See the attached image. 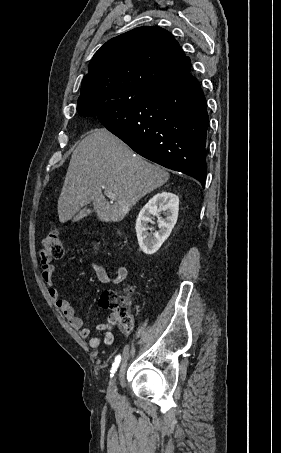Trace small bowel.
<instances>
[{
	"label": "small bowel",
	"mask_w": 281,
	"mask_h": 453,
	"mask_svg": "<svg viewBox=\"0 0 281 453\" xmlns=\"http://www.w3.org/2000/svg\"><path fill=\"white\" fill-rule=\"evenodd\" d=\"M90 268L95 273L97 279L105 284L122 283L128 276V270L124 266L119 267L114 275L108 274L100 264L92 263ZM41 277L46 284L49 297L56 303L57 308L60 309L72 327L79 332L81 338L88 340L91 349H98L102 343L106 347L113 346L114 335L111 331H108V326L116 322L115 316L109 318L108 324H97V331L104 333L102 336H92L90 331L84 327V319L77 315L73 305L68 300L62 298L54 281V267L48 260L41 262Z\"/></svg>",
	"instance_id": "1"
}]
</instances>
